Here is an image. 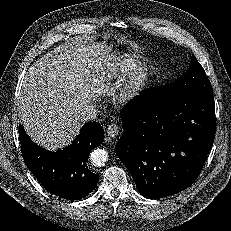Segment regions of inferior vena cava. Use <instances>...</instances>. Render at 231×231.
Segmentation results:
<instances>
[{
    "instance_id": "602c4592",
    "label": "inferior vena cava",
    "mask_w": 231,
    "mask_h": 231,
    "mask_svg": "<svg viewBox=\"0 0 231 231\" xmlns=\"http://www.w3.org/2000/svg\"><path fill=\"white\" fill-rule=\"evenodd\" d=\"M78 119L81 122H88V121H93L97 117V110L95 109L94 106H84L77 114Z\"/></svg>"
}]
</instances>
